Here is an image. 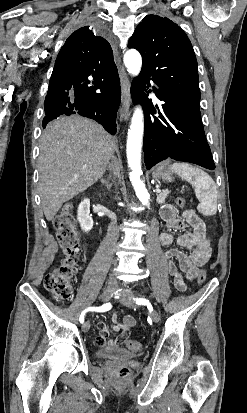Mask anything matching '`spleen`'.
<instances>
[{
    "mask_svg": "<svg viewBox=\"0 0 247 413\" xmlns=\"http://www.w3.org/2000/svg\"><path fill=\"white\" fill-rule=\"evenodd\" d=\"M171 168L194 186L195 194L200 200L198 209L203 211L204 215H215L217 213L218 190L213 178L201 168L187 164V162H174L171 164Z\"/></svg>",
    "mask_w": 247,
    "mask_h": 413,
    "instance_id": "1",
    "label": "spleen"
}]
</instances>
